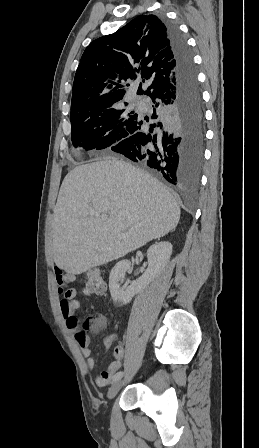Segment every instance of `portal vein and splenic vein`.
I'll return each instance as SVG.
<instances>
[{"label": "portal vein and splenic vein", "mask_w": 259, "mask_h": 448, "mask_svg": "<svg viewBox=\"0 0 259 448\" xmlns=\"http://www.w3.org/2000/svg\"><path fill=\"white\" fill-rule=\"evenodd\" d=\"M90 214L91 216H99L98 212H95V210H90ZM99 218H101V220H108L107 214H101Z\"/></svg>", "instance_id": "portal-vein-and-splenic-vein-1"}]
</instances>
